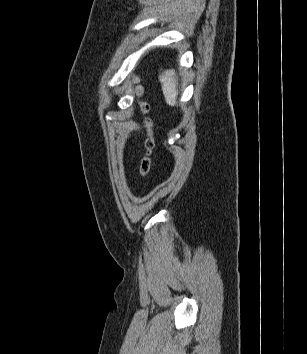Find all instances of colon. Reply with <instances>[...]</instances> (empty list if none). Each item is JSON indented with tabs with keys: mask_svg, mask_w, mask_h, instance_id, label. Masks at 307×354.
Instances as JSON below:
<instances>
[{
	"mask_svg": "<svg viewBox=\"0 0 307 354\" xmlns=\"http://www.w3.org/2000/svg\"><path fill=\"white\" fill-rule=\"evenodd\" d=\"M137 84L135 86V92L139 99V107L144 114L145 126L147 127V137L145 139V154L140 163V174L146 176L149 174L152 167V154L155 147V139L152 130L151 119L147 116L149 111V104L144 100V88L138 83V78L135 77Z\"/></svg>",
	"mask_w": 307,
	"mask_h": 354,
	"instance_id": "obj_1",
	"label": "colon"
}]
</instances>
